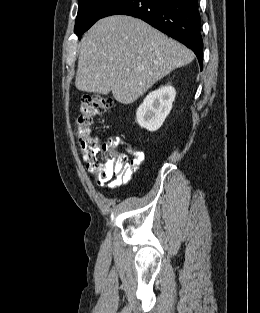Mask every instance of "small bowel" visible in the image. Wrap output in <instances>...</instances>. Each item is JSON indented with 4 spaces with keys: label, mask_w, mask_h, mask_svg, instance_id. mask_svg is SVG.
Masks as SVG:
<instances>
[{
    "label": "small bowel",
    "mask_w": 260,
    "mask_h": 313,
    "mask_svg": "<svg viewBox=\"0 0 260 313\" xmlns=\"http://www.w3.org/2000/svg\"><path fill=\"white\" fill-rule=\"evenodd\" d=\"M133 155L134 159L132 161V165L127 168L122 176L107 183L106 186L108 187V189L114 190L116 187L122 184H128L130 182L132 169L136 168L143 161V153L141 151H134ZM101 186H104V183H101Z\"/></svg>",
    "instance_id": "obj_1"
}]
</instances>
